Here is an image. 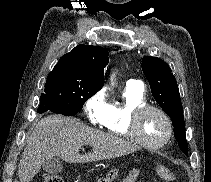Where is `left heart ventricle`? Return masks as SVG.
Masks as SVG:
<instances>
[{"instance_id":"b2bd125f","label":"left heart ventricle","mask_w":211,"mask_h":182,"mask_svg":"<svg viewBox=\"0 0 211 182\" xmlns=\"http://www.w3.org/2000/svg\"><path fill=\"white\" fill-rule=\"evenodd\" d=\"M139 132L144 141L156 144L165 138L167 126L159 113L148 111L139 120Z\"/></svg>"}]
</instances>
